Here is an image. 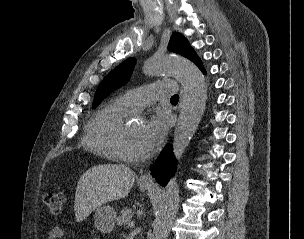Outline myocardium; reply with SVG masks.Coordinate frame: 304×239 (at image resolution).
Returning <instances> with one entry per match:
<instances>
[{
    "mask_svg": "<svg viewBox=\"0 0 304 239\" xmlns=\"http://www.w3.org/2000/svg\"><path fill=\"white\" fill-rule=\"evenodd\" d=\"M118 152L122 160L127 162H140L146 158L145 154H136L128 147L127 126L124 125L119 133L117 141Z\"/></svg>",
    "mask_w": 304,
    "mask_h": 239,
    "instance_id": "1",
    "label": "myocardium"
}]
</instances>
